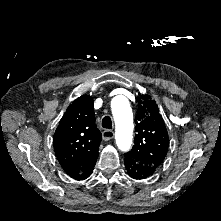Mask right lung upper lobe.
Segmentation results:
<instances>
[{
    "mask_svg": "<svg viewBox=\"0 0 221 221\" xmlns=\"http://www.w3.org/2000/svg\"><path fill=\"white\" fill-rule=\"evenodd\" d=\"M94 101L82 95L72 102L53 137L54 151L63 170L80 179L96 163L102 138L95 124Z\"/></svg>",
    "mask_w": 221,
    "mask_h": 221,
    "instance_id": "cb5924a9",
    "label": "right lung upper lobe"
}]
</instances>
